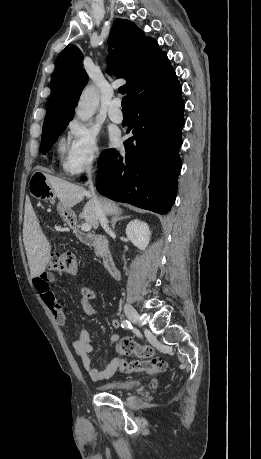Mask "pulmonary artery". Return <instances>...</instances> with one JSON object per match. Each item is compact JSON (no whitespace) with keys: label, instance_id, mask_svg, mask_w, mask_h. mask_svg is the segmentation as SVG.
<instances>
[{"label":"pulmonary artery","instance_id":"pulmonary-artery-1","mask_svg":"<svg viewBox=\"0 0 261 459\" xmlns=\"http://www.w3.org/2000/svg\"><path fill=\"white\" fill-rule=\"evenodd\" d=\"M120 106L121 101L119 99H113L109 106V118L115 123H121L123 121V113L120 110Z\"/></svg>","mask_w":261,"mask_h":459}]
</instances>
